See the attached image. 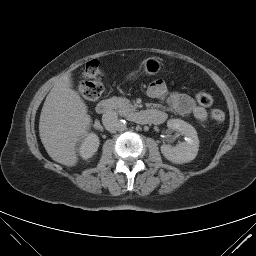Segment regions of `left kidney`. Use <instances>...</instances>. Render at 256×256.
<instances>
[{"label": "left kidney", "instance_id": "1", "mask_svg": "<svg viewBox=\"0 0 256 256\" xmlns=\"http://www.w3.org/2000/svg\"><path fill=\"white\" fill-rule=\"evenodd\" d=\"M169 129L180 132L185 136V142L176 147L162 145L161 152L163 156L176 164L188 163L195 159L198 153L199 139L195 128L187 122L180 119H170L167 122Z\"/></svg>", "mask_w": 256, "mask_h": 256}]
</instances>
